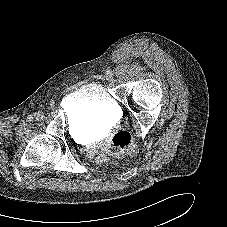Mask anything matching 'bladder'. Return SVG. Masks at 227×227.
Wrapping results in <instances>:
<instances>
[{
	"instance_id": "obj_1",
	"label": "bladder",
	"mask_w": 227,
	"mask_h": 227,
	"mask_svg": "<svg viewBox=\"0 0 227 227\" xmlns=\"http://www.w3.org/2000/svg\"><path fill=\"white\" fill-rule=\"evenodd\" d=\"M64 108L80 128L110 126L121 113L116 99L100 83H88L72 91L65 97Z\"/></svg>"
}]
</instances>
